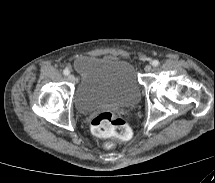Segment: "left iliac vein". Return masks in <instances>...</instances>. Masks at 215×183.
I'll return each mask as SVG.
<instances>
[{
	"label": "left iliac vein",
	"instance_id": "4c4485c4",
	"mask_svg": "<svg viewBox=\"0 0 215 183\" xmlns=\"http://www.w3.org/2000/svg\"><path fill=\"white\" fill-rule=\"evenodd\" d=\"M144 70H145L146 72H150V71L152 70L151 65H146L145 68H144Z\"/></svg>",
	"mask_w": 215,
	"mask_h": 183
}]
</instances>
